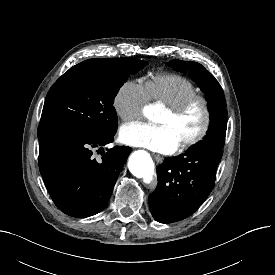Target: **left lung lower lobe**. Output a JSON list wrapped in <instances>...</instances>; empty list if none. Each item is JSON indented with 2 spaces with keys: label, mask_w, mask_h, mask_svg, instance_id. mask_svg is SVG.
Instances as JSON below:
<instances>
[{
  "label": "left lung lower lobe",
  "mask_w": 275,
  "mask_h": 275,
  "mask_svg": "<svg viewBox=\"0 0 275 275\" xmlns=\"http://www.w3.org/2000/svg\"><path fill=\"white\" fill-rule=\"evenodd\" d=\"M222 155L221 148L203 146L165 158L157 168V187L149 195L154 219L167 224L192 215L214 188Z\"/></svg>",
  "instance_id": "0a47b994"
}]
</instances>
